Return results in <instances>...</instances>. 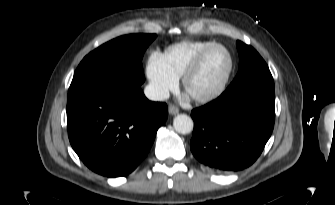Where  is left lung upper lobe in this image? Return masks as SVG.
Returning a JSON list of instances; mask_svg holds the SVG:
<instances>
[{"mask_svg": "<svg viewBox=\"0 0 335 205\" xmlns=\"http://www.w3.org/2000/svg\"><path fill=\"white\" fill-rule=\"evenodd\" d=\"M236 45L239 52V70L228 88L259 85L274 89L271 72L259 53L241 41H237Z\"/></svg>", "mask_w": 335, "mask_h": 205, "instance_id": "obj_1", "label": "left lung upper lobe"}]
</instances>
